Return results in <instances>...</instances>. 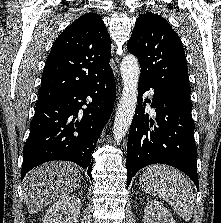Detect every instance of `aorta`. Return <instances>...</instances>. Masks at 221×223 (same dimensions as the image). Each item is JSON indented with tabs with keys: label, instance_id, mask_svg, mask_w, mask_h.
I'll return each instance as SVG.
<instances>
[{
	"label": "aorta",
	"instance_id": "762f6f07",
	"mask_svg": "<svg viewBox=\"0 0 221 223\" xmlns=\"http://www.w3.org/2000/svg\"><path fill=\"white\" fill-rule=\"evenodd\" d=\"M120 71L123 80V92L113 126L114 140L117 143L126 135L135 114L140 76V66L137 58L133 55L124 57Z\"/></svg>",
	"mask_w": 221,
	"mask_h": 223
}]
</instances>
